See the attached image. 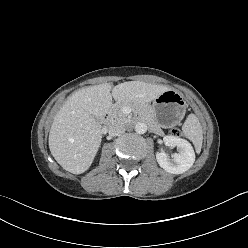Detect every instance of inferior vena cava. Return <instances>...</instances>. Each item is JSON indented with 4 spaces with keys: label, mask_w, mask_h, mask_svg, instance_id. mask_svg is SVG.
Here are the masks:
<instances>
[{
    "label": "inferior vena cava",
    "mask_w": 248,
    "mask_h": 248,
    "mask_svg": "<svg viewBox=\"0 0 248 248\" xmlns=\"http://www.w3.org/2000/svg\"><path fill=\"white\" fill-rule=\"evenodd\" d=\"M125 130H126L125 126L118 121L113 122L109 126V133H111L113 135H121L125 132Z\"/></svg>",
    "instance_id": "inferior-vena-cava-1"
}]
</instances>
